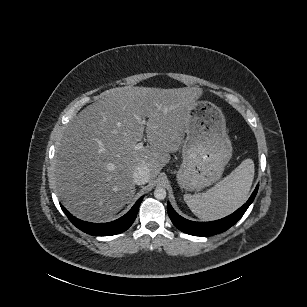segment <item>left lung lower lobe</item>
Masks as SVG:
<instances>
[{
  "instance_id": "obj_1",
  "label": "left lung lower lobe",
  "mask_w": 307,
  "mask_h": 307,
  "mask_svg": "<svg viewBox=\"0 0 307 307\" xmlns=\"http://www.w3.org/2000/svg\"><path fill=\"white\" fill-rule=\"evenodd\" d=\"M259 185L256 186L249 200L233 214L216 221L211 222H193L178 215L170 203H167L169 217L173 224L182 232L195 236H210L226 231L234 225L245 213L247 208L253 202Z\"/></svg>"
}]
</instances>
